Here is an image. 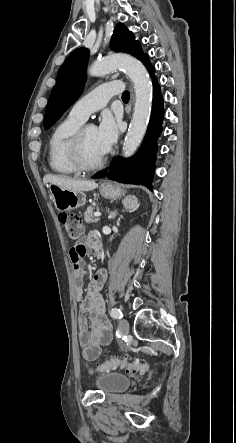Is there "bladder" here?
<instances>
[{"instance_id": "1", "label": "bladder", "mask_w": 236, "mask_h": 443, "mask_svg": "<svg viewBox=\"0 0 236 443\" xmlns=\"http://www.w3.org/2000/svg\"><path fill=\"white\" fill-rule=\"evenodd\" d=\"M132 383L127 375L118 372H106L100 374L94 380V384L104 392L119 393L125 391Z\"/></svg>"}]
</instances>
